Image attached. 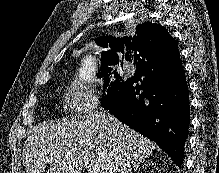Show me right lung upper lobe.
Returning a JSON list of instances; mask_svg holds the SVG:
<instances>
[{
  "mask_svg": "<svg viewBox=\"0 0 219 173\" xmlns=\"http://www.w3.org/2000/svg\"><path fill=\"white\" fill-rule=\"evenodd\" d=\"M96 43L107 48L101 54V71L106 67L123 66L124 60H133L136 66H140L152 59L157 64L171 66L180 56L178 42L165 27L150 22L137 25L133 37L102 36L96 38Z\"/></svg>",
  "mask_w": 219,
  "mask_h": 173,
  "instance_id": "right-lung-upper-lobe-1",
  "label": "right lung upper lobe"
}]
</instances>
